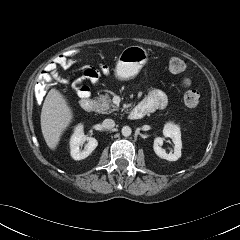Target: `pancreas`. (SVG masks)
Listing matches in <instances>:
<instances>
[{
    "mask_svg": "<svg viewBox=\"0 0 240 240\" xmlns=\"http://www.w3.org/2000/svg\"><path fill=\"white\" fill-rule=\"evenodd\" d=\"M96 110L99 113L107 114L119 110V108L112 103L108 95L99 96L96 101Z\"/></svg>",
    "mask_w": 240,
    "mask_h": 240,
    "instance_id": "obj_1",
    "label": "pancreas"
}]
</instances>
